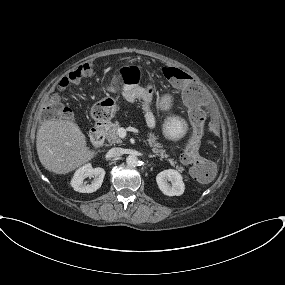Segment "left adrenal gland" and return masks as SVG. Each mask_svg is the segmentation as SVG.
<instances>
[{
    "instance_id": "a2214340",
    "label": "left adrenal gland",
    "mask_w": 285,
    "mask_h": 285,
    "mask_svg": "<svg viewBox=\"0 0 285 285\" xmlns=\"http://www.w3.org/2000/svg\"><path fill=\"white\" fill-rule=\"evenodd\" d=\"M148 157H149V158H153V157H155V155H148Z\"/></svg>"
}]
</instances>
